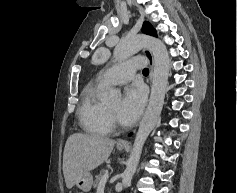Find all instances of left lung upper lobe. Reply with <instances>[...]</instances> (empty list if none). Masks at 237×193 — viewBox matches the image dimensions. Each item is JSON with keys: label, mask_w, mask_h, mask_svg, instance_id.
Returning a JSON list of instances; mask_svg holds the SVG:
<instances>
[{"label": "left lung upper lobe", "mask_w": 237, "mask_h": 193, "mask_svg": "<svg viewBox=\"0 0 237 193\" xmlns=\"http://www.w3.org/2000/svg\"><path fill=\"white\" fill-rule=\"evenodd\" d=\"M142 31H143L145 34H148V35H152V36L157 37V32H156V30H155V29L153 28V26H152L149 22H147V21L143 23Z\"/></svg>", "instance_id": "obj_1"}]
</instances>
